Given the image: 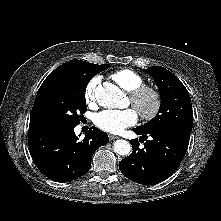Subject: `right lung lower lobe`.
<instances>
[{"mask_svg":"<svg viewBox=\"0 0 221 221\" xmlns=\"http://www.w3.org/2000/svg\"><path fill=\"white\" fill-rule=\"evenodd\" d=\"M74 127L29 131L28 144L33 161L53 181H71L87 173L95 150L109 142L108 135L96 127L79 140Z\"/></svg>","mask_w":221,"mask_h":221,"instance_id":"1","label":"right lung lower lobe"}]
</instances>
